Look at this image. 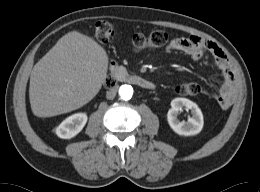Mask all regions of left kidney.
<instances>
[{"label": "left kidney", "mask_w": 260, "mask_h": 192, "mask_svg": "<svg viewBox=\"0 0 260 192\" xmlns=\"http://www.w3.org/2000/svg\"><path fill=\"white\" fill-rule=\"evenodd\" d=\"M184 107L191 110L192 116L187 122L178 119L179 111ZM167 121L175 133L183 136L198 134L204 124L203 114L198 105L186 98H175L171 101V109L167 113Z\"/></svg>", "instance_id": "left-kidney-1"}]
</instances>
